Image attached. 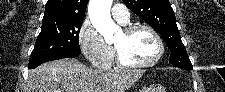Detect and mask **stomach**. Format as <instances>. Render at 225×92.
<instances>
[{
    "mask_svg": "<svg viewBox=\"0 0 225 92\" xmlns=\"http://www.w3.org/2000/svg\"><path fill=\"white\" fill-rule=\"evenodd\" d=\"M142 92H165V91L161 86H152V87L143 89Z\"/></svg>",
    "mask_w": 225,
    "mask_h": 92,
    "instance_id": "0dacf381",
    "label": "stomach"
}]
</instances>
